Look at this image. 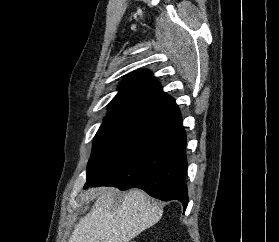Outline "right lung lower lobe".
Instances as JSON below:
<instances>
[{
  "label": "right lung lower lobe",
  "instance_id": "right-lung-lower-lobe-1",
  "mask_svg": "<svg viewBox=\"0 0 279 242\" xmlns=\"http://www.w3.org/2000/svg\"><path fill=\"white\" fill-rule=\"evenodd\" d=\"M186 134L179 109L161 117L154 135L89 186H115L121 190L140 188L162 201L179 200L188 204L185 184Z\"/></svg>",
  "mask_w": 279,
  "mask_h": 242
}]
</instances>
